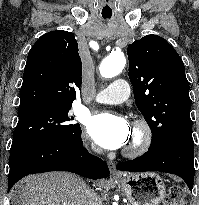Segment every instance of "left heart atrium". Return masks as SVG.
<instances>
[{
    "label": "left heart atrium",
    "mask_w": 199,
    "mask_h": 205,
    "mask_svg": "<svg viewBox=\"0 0 199 205\" xmlns=\"http://www.w3.org/2000/svg\"><path fill=\"white\" fill-rule=\"evenodd\" d=\"M90 137L101 147L117 149L130 139L132 128L122 116L99 114L93 116L87 126Z\"/></svg>",
    "instance_id": "obj_1"
}]
</instances>
